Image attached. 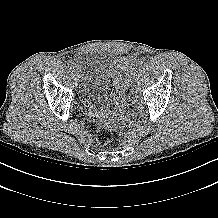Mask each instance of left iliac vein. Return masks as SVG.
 Here are the masks:
<instances>
[{
    "label": "left iliac vein",
    "mask_w": 218,
    "mask_h": 218,
    "mask_svg": "<svg viewBox=\"0 0 218 218\" xmlns=\"http://www.w3.org/2000/svg\"><path fill=\"white\" fill-rule=\"evenodd\" d=\"M137 76H138V73H137V72H134V73H133V76L130 77V80H131V81H130V83L128 84V90H129V91H132V90H133V85L135 84V81H134V80H135V77H137Z\"/></svg>",
    "instance_id": "obj_1"
}]
</instances>
